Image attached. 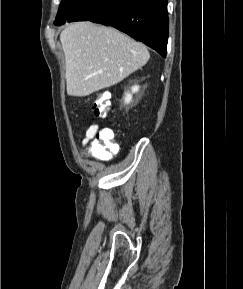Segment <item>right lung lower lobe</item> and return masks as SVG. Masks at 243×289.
Instances as JSON below:
<instances>
[{"label":"right lung lower lobe","instance_id":"obj_1","mask_svg":"<svg viewBox=\"0 0 243 289\" xmlns=\"http://www.w3.org/2000/svg\"><path fill=\"white\" fill-rule=\"evenodd\" d=\"M113 26L166 57L169 33L167 0H82L64 21Z\"/></svg>","mask_w":243,"mask_h":289}]
</instances>
